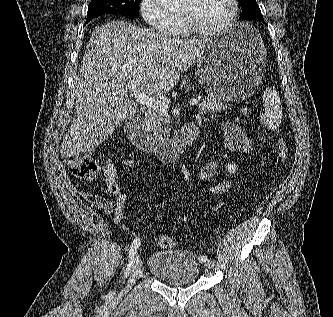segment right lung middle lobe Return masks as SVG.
<instances>
[{
    "instance_id": "right-lung-middle-lobe-1",
    "label": "right lung middle lobe",
    "mask_w": 333,
    "mask_h": 317,
    "mask_svg": "<svg viewBox=\"0 0 333 317\" xmlns=\"http://www.w3.org/2000/svg\"><path fill=\"white\" fill-rule=\"evenodd\" d=\"M140 2L141 0H92L88 6L86 22L109 13L139 17Z\"/></svg>"
}]
</instances>
